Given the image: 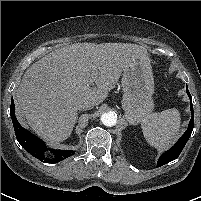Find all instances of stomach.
Listing matches in <instances>:
<instances>
[{"instance_id":"0dacf381","label":"stomach","mask_w":201,"mask_h":201,"mask_svg":"<svg viewBox=\"0 0 201 201\" xmlns=\"http://www.w3.org/2000/svg\"><path fill=\"white\" fill-rule=\"evenodd\" d=\"M122 108L131 124L146 119L154 109V79L149 55L139 54L123 71Z\"/></svg>"}]
</instances>
